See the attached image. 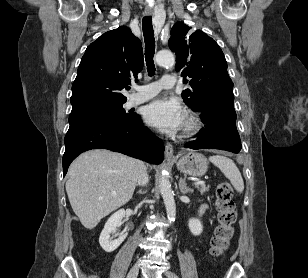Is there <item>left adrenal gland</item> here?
Masks as SVG:
<instances>
[{
	"label": "left adrenal gland",
	"instance_id": "a2214340",
	"mask_svg": "<svg viewBox=\"0 0 308 278\" xmlns=\"http://www.w3.org/2000/svg\"><path fill=\"white\" fill-rule=\"evenodd\" d=\"M179 189H180L181 193H183V194L193 192V189L187 187L186 181L183 178H180V180H179Z\"/></svg>",
	"mask_w": 308,
	"mask_h": 278
}]
</instances>
